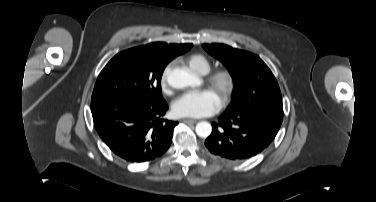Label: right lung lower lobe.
Wrapping results in <instances>:
<instances>
[{
	"instance_id": "obj_1",
	"label": "right lung lower lobe",
	"mask_w": 376,
	"mask_h": 202,
	"mask_svg": "<svg viewBox=\"0 0 376 202\" xmlns=\"http://www.w3.org/2000/svg\"><path fill=\"white\" fill-rule=\"evenodd\" d=\"M165 100L110 96L91 102L94 126L108 147L129 162H145L169 148L177 122L163 119Z\"/></svg>"
}]
</instances>
